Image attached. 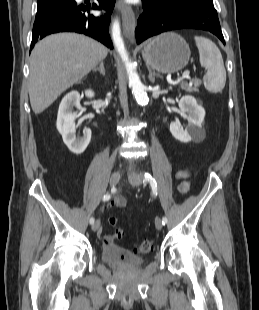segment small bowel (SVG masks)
<instances>
[{
    "mask_svg": "<svg viewBox=\"0 0 259 310\" xmlns=\"http://www.w3.org/2000/svg\"><path fill=\"white\" fill-rule=\"evenodd\" d=\"M176 178L179 180L178 191L180 194H185L189 190L190 180L189 173L186 170L180 169L176 172ZM125 199L122 196H117L111 202V204L115 207L121 208L125 206ZM104 210V209H102ZM98 237L101 238L105 245H113L114 237L110 235H105L103 233L102 227L98 229Z\"/></svg>",
    "mask_w": 259,
    "mask_h": 310,
    "instance_id": "obj_1",
    "label": "small bowel"
}]
</instances>
